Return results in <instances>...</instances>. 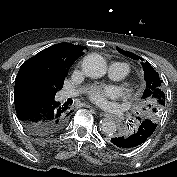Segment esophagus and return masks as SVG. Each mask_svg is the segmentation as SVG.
I'll list each match as a JSON object with an SVG mask.
<instances>
[{"label":"esophagus","mask_w":177,"mask_h":177,"mask_svg":"<svg viewBox=\"0 0 177 177\" xmlns=\"http://www.w3.org/2000/svg\"><path fill=\"white\" fill-rule=\"evenodd\" d=\"M101 115L108 116L106 112H100Z\"/></svg>","instance_id":"1"}]
</instances>
